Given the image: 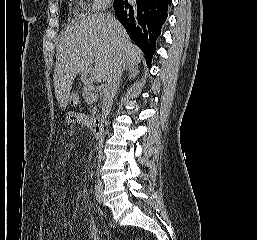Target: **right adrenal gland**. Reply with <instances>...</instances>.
Wrapping results in <instances>:
<instances>
[{"mask_svg":"<svg viewBox=\"0 0 257 240\" xmlns=\"http://www.w3.org/2000/svg\"><path fill=\"white\" fill-rule=\"evenodd\" d=\"M138 74H139V70L137 68L128 70V78L129 79L136 77Z\"/></svg>","mask_w":257,"mask_h":240,"instance_id":"1","label":"right adrenal gland"}]
</instances>
